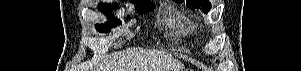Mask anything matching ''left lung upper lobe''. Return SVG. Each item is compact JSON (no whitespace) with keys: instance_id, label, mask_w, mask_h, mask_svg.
I'll return each instance as SVG.
<instances>
[{"instance_id":"5c2ea615","label":"left lung upper lobe","mask_w":301,"mask_h":71,"mask_svg":"<svg viewBox=\"0 0 301 71\" xmlns=\"http://www.w3.org/2000/svg\"><path fill=\"white\" fill-rule=\"evenodd\" d=\"M176 3H182L184 0H173ZM186 4L189 8H201L204 13H208L211 9V3L208 0H186Z\"/></svg>"}]
</instances>
